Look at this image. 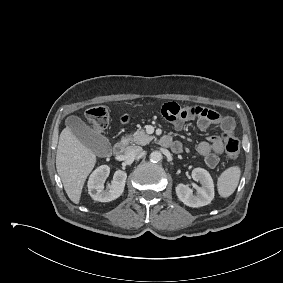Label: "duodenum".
<instances>
[{
    "mask_svg": "<svg viewBox=\"0 0 283 283\" xmlns=\"http://www.w3.org/2000/svg\"><path fill=\"white\" fill-rule=\"evenodd\" d=\"M161 144L163 146L169 147L171 145L170 140L167 137H163L161 139ZM127 146V141L125 139H121L114 145L113 153L116 157H120L123 155L125 148Z\"/></svg>",
    "mask_w": 283,
    "mask_h": 283,
    "instance_id": "410a0bca",
    "label": "duodenum"
}]
</instances>
